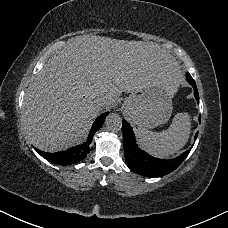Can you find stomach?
I'll return each instance as SVG.
<instances>
[{
  "instance_id": "1",
  "label": "stomach",
  "mask_w": 228,
  "mask_h": 228,
  "mask_svg": "<svg viewBox=\"0 0 228 228\" xmlns=\"http://www.w3.org/2000/svg\"><path fill=\"white\" fill-rule=\"evenodd\" d=\"M172 97L171 91L163 85H153L129 95L121 111L136 124L152 129L170 118Z\"/></svg>"
}]
</instances>
